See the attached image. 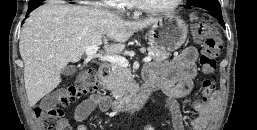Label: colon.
<instances>
[{"label":"colon","instance_id":"5ec220e1","mask_svg":"<svg viewBox=\"0 0 257 130\" xmlns=\"http://www.w3.org/2000/svg\"><path fill=\"white\" fill-rule=\"evenodd\" d=\"M196 39L202 41L203 46L199 63L204 74L209 75L202 82V99L207 102L215 89V71L217 57L222 49V40L211 23L202 18H196L192 25ZM100 88V78L93 68L80 71L73 84L58 93L60 105L65 106L73 102L81 94L96 92ZM35 116L43 130H69L68 122L63 117V111L57 106H37Z\"/></svg>","mask_w":257,"mask_h":130}]
</instances>
